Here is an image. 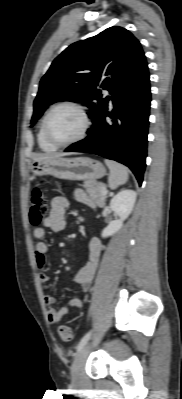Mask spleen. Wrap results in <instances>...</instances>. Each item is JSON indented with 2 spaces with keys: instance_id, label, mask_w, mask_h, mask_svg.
<instances>
[{
  "instance_id": "spleen-1",
  "label": "spleen",
  "mask_w": 182,
  "mask_h": 399,
  "mask_svg": "<svg viewBox=\"0 0 182 399\" xmlns=\"http://www.w3.org/2000/svg\"><path fill=\"white\" fill-rule=\"evenodd\" d=\"M105 163L110 169L108 184L111 189H116L127 182L129 176L128 169L125 166L108 159H105Z\"/></svg>"
}]
</instances>
